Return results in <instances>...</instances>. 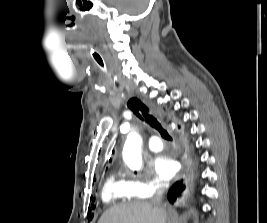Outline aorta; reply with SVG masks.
I'll return each instance as SVG.
<instances>
[{
	"mask_svg": "<svg viewBox=\"0 0 267 223\" xmlns=\"http://www.w3.org/2000/svg\"><path fill=\"white\" fill-rule=\"evenodd\" d=\"M141 144V137L133 132L128 134L123 147V160L133 171H138L142 168Z\"/></svg>",
	"mask_w": 267,
	"mask_h": 223,
	"instance_id": "762f6f07",
	"label": "aorta"
}]
</instances>
